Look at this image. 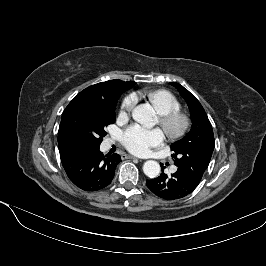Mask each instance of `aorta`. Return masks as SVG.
Returning a JSON list of instances; mask_svg holds the SVG:
<instances>
[{"label":"aorta","mask_w":266,"mask_h":266,"mask_svg":"<svg viewBox=\"0 0 266 266\" xmlns=\"http://www.w3.org/2000/svg\"><path fill=\"white\" fill-rule=\"evenodd\" d=\"M132 117L145 127H152L156 124V116L150 104H140L132 112ZM161 168L158 162L149 160L143 165V172L149 178H155L160 174Z\"/></svg>","instance_id":"obj_1"}]
</instances>
